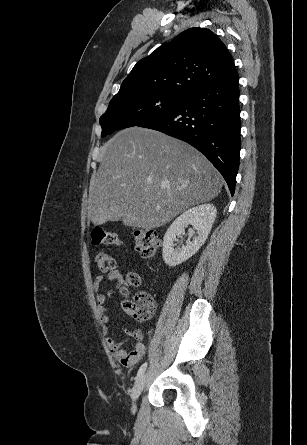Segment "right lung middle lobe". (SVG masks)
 <instances>
[{"label":"right lung middle lobe","mask_w":307,"mask_h":445,"mask_svg":"<svg viewBox=\"0 0 307 445\" xmlns=\"http://www.w3.org/2000/svg\"><path fill=\"white\" fill-rule=\"evenodd\" d=\"M185 96L162 94L117 95L100 117L102 137L127 127L138 126L175 108Z\"/></svg>","instance_id":"1"}]
</instances>
